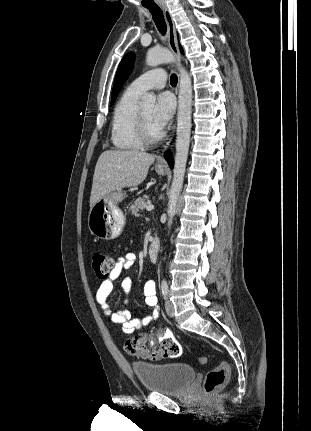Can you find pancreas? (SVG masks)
Segmentation results:
<instances>
[{
	"instance_id": "pancreas-1",
	"label": "pancreas",
	"mask_w": 311,
	"mask_h": 431,
	"mask_svg": "<svg viewBox=\"0 0 311 431\" xmlns=\"http://www.w3.org/2000/svg\"><path fill=\"white\" fill-rule=\"evenodd\" d=\"M148 200H149V196H143V198H137V200L133 202L132 206H130L128 212H131L133 216H141L140 212H143L144 208H146V206H149V204H147Z\"/></svg>"
}]
</instances>
